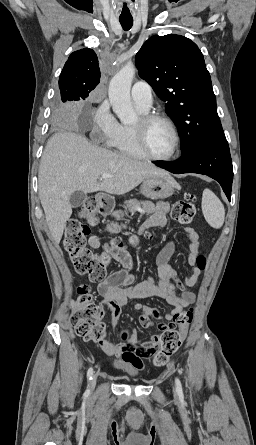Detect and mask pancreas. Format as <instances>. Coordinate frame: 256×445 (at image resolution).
<instances>
[{
    "instance_id": "1",
    "label": "pancreas",
    "mask_w": 256,
    "mask_h": 445,
    "mask_svg": "<svg viewBox=\"0 0 256 445\" xmlns=\"http://www.w3.org/2000/svg\"><path fill=\"white\" fill-rule=\"evenodd\" d=\"M125 209L131 212L136 211L138 208H143V213L152 214L155 212V205L150 201H138L137 199L127 200L124 202Z\"/></svg>"
}]
</instances>
